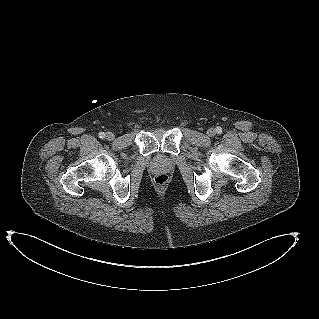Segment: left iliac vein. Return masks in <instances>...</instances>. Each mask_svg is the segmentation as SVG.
Listing matches in <instances>:
<instances>
[{
  "instance_id": "left-iliac-vein-1",
  "label": "left iliac vein",
  "mask_w": 319,
  "mask_h": 319,
  "mask_svg": "<svg viewBox=\"0 0 319 319\" xmlns=\"http://www.w3.org/2000/svg\"><path fill=\"white\" fill-rule=\"evenodd\" d=\"M207 134L209 136H214L215 135V129H213V128L208 129Z\"/></svg>"
}]
</instances>
